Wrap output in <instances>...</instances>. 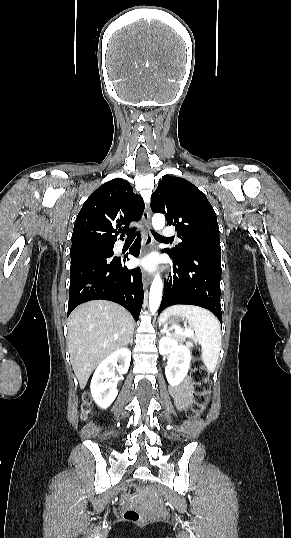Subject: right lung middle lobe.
<instances>
[{"label": "right lung middle lobe", "mask_w": 291, "mask_h": 538, "mask_svg": "<svg viewBox=\"0 0 291 538\" xmlns=\"http://www.w3.org/2000/svg\"><path fill=\"white\" fill-rule=\"evenodd\" d=\"M113 247L114 245H105V246H89V247H83L78 249H72L70 250V256L71 259L90 255V254H96V253H113Z\"/></svg>", "instance_id": "1"}]
</instances>
